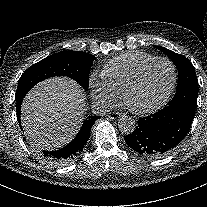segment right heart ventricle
Here are the masks:
<instances>
[{
    "label": "right heart ventricle",
    "mask_w": 207,
    "mask_h": 207,
    "mask_svg": "<svg viewBox=\"0 0 207 207\" xmlns=\"http://www.w3.org/2000/svg\"><path fill=\"white\" fill-rule=\"evenodd\" d=\"M156 59L145 52H131L118 56L108 62L102 71V78L117 96L122 95L126 84L148 62Z\"/></svg>",
    "instance_id": "right-heart-ventricle-1"
}]
</instances>
